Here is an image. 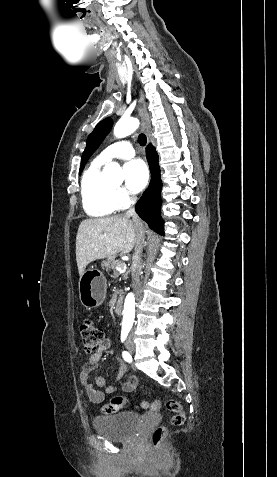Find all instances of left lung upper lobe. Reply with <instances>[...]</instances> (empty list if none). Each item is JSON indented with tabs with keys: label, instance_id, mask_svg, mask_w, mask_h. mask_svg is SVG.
Returning <instances> with one entry per match:
<instances>
[{
	"label": "left lung upper lobe",
	"instance_id": "1",
	"mask_svg": "<svg viewBox=\"0 0 277 477\" xmlns=\"http://www.w3.org/2000/svg\"><path fill=\"white\" fill-rule=\"evenodd\" d=\"M112 124V119L106 118L99 122L93 132L88 136L86 148L82 154L80 172L83 170L89 157L95 152V150L99 147L104 138L107 136L112 127Z\"/></svg>",
	"mask_w": 277,
	"mask_h": 477
}]
</instances>
